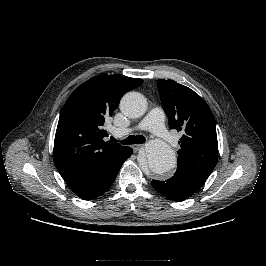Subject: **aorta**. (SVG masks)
I'll return each instance as SVG.
<instances>
[{"instance_id":"1","label":"aorta","mask_w":266,"mask_h":266,"mask_svg":"<svg viewBox=\"0 0 266 266\" xmlns=\"http://www.w3.org/2000/svg\"><path fill=\"white\" fill-rule=\"evenodd\" d=\"M122 113L131 118H138L144 115L147 103L144 96L138 92L125 94L120 102ZM138 161L143 169H150L157 175H163L176 166V156L172 148L161 140H152L145 151L140 153Z\"/></svg>"}]
</instances>
